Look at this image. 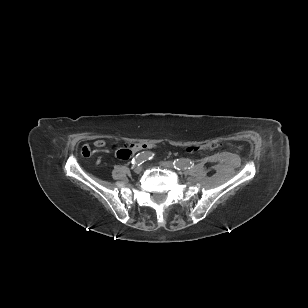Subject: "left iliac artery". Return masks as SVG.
Instances as JSON below:
<instances>
[{"mask_svg":"<svg viewBox=\"0 0 308 308\" xmlns=\"http://www.w3.org/2000/svg\"><path fill=\"white\" fill-rule=\"evenodd\" d=\"M173 166L177 170H186L189 169L190 167H193L194 163L188 159H177L174 160Z\"/></svg>","mask_w":308,"mask_h":308,"instance_id":"obj_1","label":"left iliac artery"}]
</instances>
